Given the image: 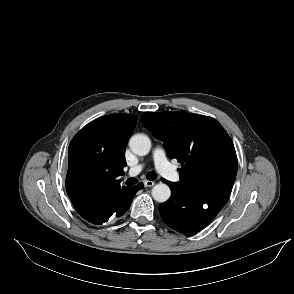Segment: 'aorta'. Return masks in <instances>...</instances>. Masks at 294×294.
<instances>
[{
	"mask_svg": "<svg viewBox=\"0 0 294 294\" xmlns=\"http://www.w3.org/2000/svg\"><path fill=\"white\" fill-rule=\"evenodd\" d=\"M129 146L132 152L136 155L145 156L150 151L151 141L148 136L144 134H136L130 138ZM170 195V188L164 183L156 184L152 188V197L157 202H166L170 198Z\"/></svg>",
	"mask_w": 294,
	"mask_h": 294,
	"instance_id": "aorta-1",
	"label": "aorta"
}]
</instances>
